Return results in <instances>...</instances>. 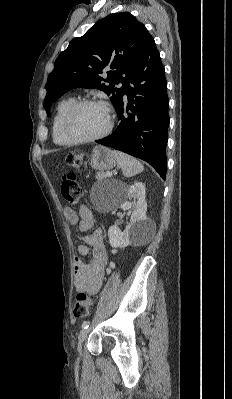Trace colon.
Returning <instances> with one entry per match:
<instances>
[{
	"mask_svg": "<svg viewBox=\"0 0 232 399\" xmlns=\"http://www.w3.org/2000/svg\"><path fill=\"white\" fill-rule=\"evenodd\" d=\"M86 164V151L75 152L68 151L66 155V168H73L74 172H83ZM63 185H76L78 175H62ZM58 194H77L82 197V186H61ZM62 203H81V198H62ZM72 301H81L78 307L71 309V316H86L87 319L97 318V305L91 307L90 296H72Z\"/></svg>",
	"mask_w": 232,
	"mask_h": 399,
	"instance_id": "obj_1",
	"label": "colon"
}]
</instances>
